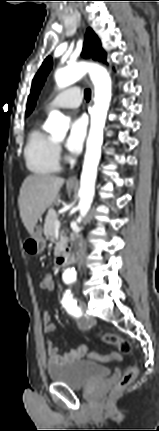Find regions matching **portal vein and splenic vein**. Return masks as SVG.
Returning <instances> with one entry per match:
<instances>
[{"label": "portal vein and splenic vein", "instance_id": "obj_1", "mask_svg": "<svg viewBox=\"0 0 159 431\" xmlns=\"http://www.w3.org/2000/svg\"><path fill=\"white\" fill-rule=\"evenodd\" d=\"M54 225H55V227L59 228V226H60V221L57 219V220L55 221Z\"/></svg>", "mask_w": 159, "mask_h": 431}]
</instances>
